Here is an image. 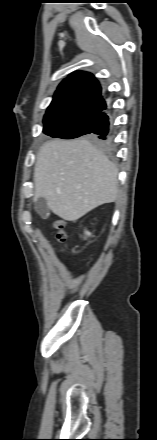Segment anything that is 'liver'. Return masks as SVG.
<instances>
[{
  "label": "liver",
  "mask_w": 157,
  "mask_h": 440,
  "mask_svg": "<svg viewBox=\"0 0 157 440\" xmlns=\"http://www.w3.org/2000/svg\"><path fill=\"white\" fill-rule=\"evenodd\" d=\"M118 169L89 141L45 143L34 167V200L46 199L60 218L76 221L96 207L116 201Z\"/></svg>",
  "instance_id": "liver-1"
}]
</instances>
